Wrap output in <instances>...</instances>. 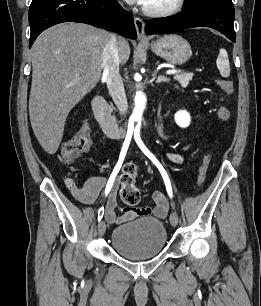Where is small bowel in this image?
I'll list each match as a JSON object with an SVG mask.
<instances>
[{"label": "small bowel", "mask_w": 261, "mask_h": 306, "mask_svg": "<svg viewBox=\"0 0 261 306\" xmlns=\"http://www.w3.org/2000/svg\"><path fill=\"white\" fill-rule=\"evenodd\" d=\"M159 130L162 132L161 126L159 127ZM185 148H187V146ZM168 158L177 164H181L183 162V156L180 153H170L168 154ZM106 182L107 180L104 177L91 178L84 182L81 186L73 187L71 190L72 196L82 204L92 205L96 201L101 190L106 185ZM105 193L106 195L108 194L106 189ZM153 200L155 202L154 207L119 209L116 198V187L114 186L106 203L105 218L109 223L112 224L125 222L140 216L150 214H153L157 218L164 219L167 216L169 210V204L166 196L162 192L157 191L153 194ZM119 211L121 212L120 214Z\"/></svg>", "instance_id": "small-bowel-1"}]
</instances>
